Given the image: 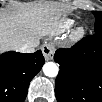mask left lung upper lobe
<instances>
[{"label": "left lung upper lobe", "mask_w": 102, "mask_h": 102, "mask_svg": "<svg viewBox=\"0 0 102 102\" xmlns=\"http://www.w3.org/2000/svg\"><path fill=\"white\" fill-rule=\"evenodd\" d=\"M93 14L96 18L95 25H94V31L102 32V13L99 11H93Z\"/></svg>", "instance_id": "5c2ea615"}]
</instances>
